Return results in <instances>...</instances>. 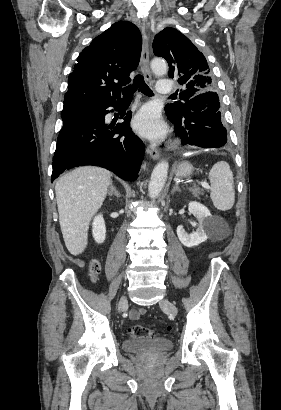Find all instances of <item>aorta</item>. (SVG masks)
Here are the masks:
<instances>
[{"label":"aorta","mask_w":281,"mask_h":410,"mask_svg":"<svg viewBox=\"0 0 281 410\" xmlns=\"http://www.w3.org/2000/svg\"><path fill=\"white\" fill-rule=\"evenodd\" d=\"M151 69L157 75H165L168 71V66L165 60L154 59L151 62ZM168 169L169 164L164 160L154 167L148 186V192L151 198H156L161 193L167 180Z\"/></svg>","instance_id":"762f6f07"}]
</instances>
